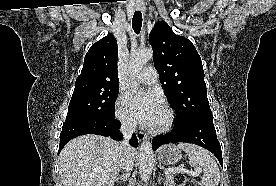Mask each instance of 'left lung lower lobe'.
<instances>
[{
  "label": "left lung lower lobe",
  "mask_w": 276,
  "mask_h": 186,
  "mask_svg": "<svg viewBox=\"0 0 276 186\" xmlns=\"http://www.w3.org/2000/svg\"><path fill=\"white\" fill-rule=\"evenodd\" d=\"M186 142L199 145L212 152L223 167L221 146L213 125V116L196 117L179 125L174 124L171 133L153 138L152 147L155 151L163 144Z\"/></svg>",
  "instance_id": "left-lung-lower-lobe-1"
}]
</instances>
